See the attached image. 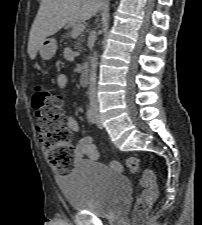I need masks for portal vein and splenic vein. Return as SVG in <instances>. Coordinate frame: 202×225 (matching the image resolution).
Listing matches in <instances>:
<instances>
[{"instance_id":"1","label":"portal vein and splenic vein","mask_w":202,"mask_h":225,"mask_svg":"<svg viewBox=\"0 0 202 225\" xmlns=\"http://www.w3.org/2000/svg\"><path fill=\"white\" fill-rule=\"evenodd\" d=\"M84 29H85V26L82 23L75 24L71 31V36L72 37L79 36L84 31Z\"/></svg>"}]
</instances>
